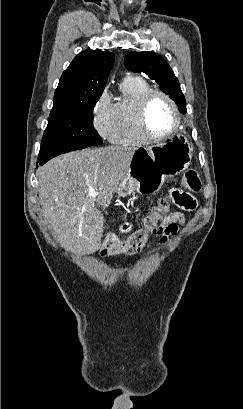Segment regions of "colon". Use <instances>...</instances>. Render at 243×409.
<instances>
[{
  "mask_svg": "<svg viewBox=\"0 0 243 409\" xmlns=\"http://www.w3.org/2000/svg\"><path fill=\"white\" fill-rule=\"evenodd\" d=\"M181 184L184 189L190 192H199L202 187L199 173L193 169L183 174ZM172 204L187 206L189 201L181 194L160 198L145 215L142 229L136 231L126 241H119L113 234L107 235L100 248V255L105 257L115 253L136 254L140 252L144 248L149 235L162 236L166 232L163 222Z\"/></svg>",
  "mask_w": 243,
  "mask_h": 409,
  "instance_id": "1",
  "label": "colon"
}]
</instances>
